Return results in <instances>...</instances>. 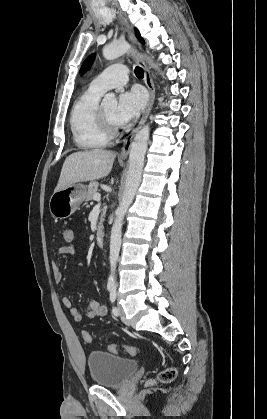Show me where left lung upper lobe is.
Wrapping results in <instances>:
<instances>
[{
	"mask_svg": "<svg viewBox=\"0 0 267 419\" xmlns=\"http://www.w3.org/2000/svg\"><path fill=\"white\" fill-rule=\"evenodd\" d=\"M135 32H136V36H137V38L142 42V43H144V40L141 38V36H140V34H139V31L137 30V29H135ZM94 57H95V55L94 54H92V55H90L85 61H84V63H83V65H82V68H81V70H87L89 67H90V65L92 64V62H93V60H94Z\"/></svg>",
	"mask_w": 267,
	"mask_h": 419,
	"instance_id": "obj_1",
	"label": "left lung upper lobe"
}]
</instances>
